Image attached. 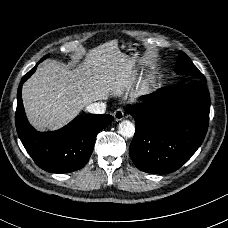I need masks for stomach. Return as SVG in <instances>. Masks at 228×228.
<instances>
[{"instance_id":"obj_1","label":"stomach","mask_w":228,"mask_h":228,"mask_svg":"<svg viewBox=\"0 0 228 228\" xmlns=\"http://www.w3.org/2000/svg\"><path fill=\"white\" fill-rule=\"evenodd\" d=\"M129 53L132 55V56H136L137 55V51L135 48H130L129 49Z\"/></svg>"}]
</instances>
